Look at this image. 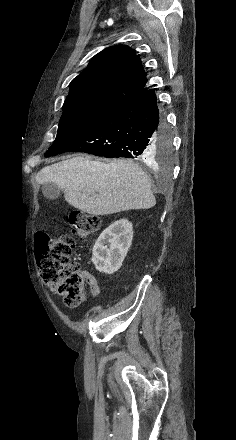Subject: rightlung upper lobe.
Masks as SVG:
<instances>
[{
	"label": "right lung upper lobe",
	"instance_id": "obj_1",
	"mask_svg": "<svg viewBox=\"0 0 236 440\" xmlns=\"http://www.w3.org/2000/svg\"><path fill=\"white\" fill-rule=\"evenodd\" d=\"M146 75L133 49L115 45L95 55L72 80L65 103L93 102L117 107L149 88Z\"/></svg>",
	"mask_w": 236,
	"mask_h": 440
}]
</instances>
